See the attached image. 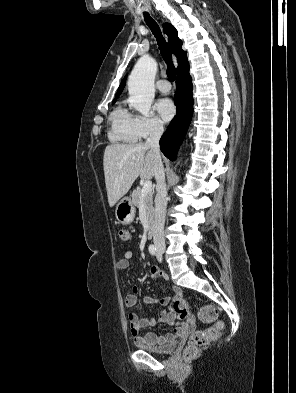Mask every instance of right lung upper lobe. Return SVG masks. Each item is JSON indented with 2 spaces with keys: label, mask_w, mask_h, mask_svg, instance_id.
<instances>
[{
  "label": "right lung upper lobe",
  "mask_w": 296,
  "mask_h": 393,
  "mask_svg": "<svg viewBox=\"0 0 296 393\" xmlns=\"http://www.w3.org/2000/svg\"><path fill=\"white\" fill-rule=\"evenodd\" d=\"M164 33L168 36V43L172 48L173 54L177 57L179 71L183 66L188 64L186 52L182 50V41L178 38L177 30L169 23L163 24ZM125 85V79L120 84L118 91L116 93V98L120 95ZM115 101V100H114Z\"/></svg>",
  "instance_id": "cb5924a9"
}]
</instances>
